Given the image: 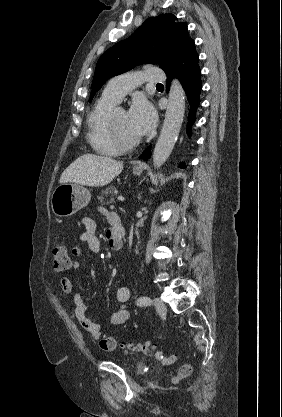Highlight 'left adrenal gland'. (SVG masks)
Segmentation results:
<instances>
[{"mask_svg": "<svg viewBox=\"0 0 282 417\" xmlns=\"http://www.w3.org/2000/svg\"><path fill=\"white\" fill-rule=\"evenodd\" d=\"M137 198H139V200H140V198H141L140 194H139V196H137Z\"/></svg>", "mask_w": 282, "mask_h": 417, "instance_id": "1", "label": "left adrenal gland"}]
</instances>
